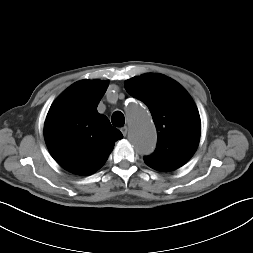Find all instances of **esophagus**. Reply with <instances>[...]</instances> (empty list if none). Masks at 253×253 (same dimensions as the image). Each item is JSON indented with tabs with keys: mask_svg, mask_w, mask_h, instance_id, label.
<instances>
[{
	"mask_svg": "<svg viewBox=\"0 0 253 253\" xmlns=\"http://www.w3.org/2000/svg\"><path fill=\"white\" fill-rule=\"evenodd\" d=\"M121 132H122V134H123L124 136H126V135H127V132H128L127 126L122 127V128H121Z\"/></svg>",
	"mask_w": 253,
	"mask_h": 253,
	"instance_id": "esophagus-1",
	"label": "esophagus"
}]
</instances>
